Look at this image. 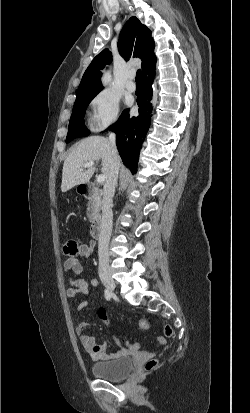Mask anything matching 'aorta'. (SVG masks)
I'll return each mask as SVG.
<instances>
[{
  "label": "aorta",
  "instance_id": "obj_1",
  "mask_svg": "<svg viewBox=\"0 0 250 413\" xmlns=\"http://www.w3.org/2000/svg\"><path fill=\"white\" fill-rule=\"evenodd\" d=\"M112 80L111 74L109 71L104 72L103 76H102V83L103 85L107 86L110 84Z\"/></svg>",
  "mask_w": 250,
  "mask_h": 413
}]
</instances>
